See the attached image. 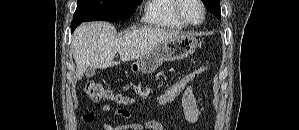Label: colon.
Listing matches in <instances>:
<instances>
[{"label": "colon", "instance_id": "1", "mask_svg": "<svg viewBox=\"0 0 299 130\" xmlns=\"http://www.w3.org/2000/svg\"><path fill=\"white\" fill-rule=\"evenodd\" d=\"M207 69L208 64H205L179 77L159 95L157 100L158 104L164 106L176 100L190 86L194 85ZM84 91L88 97L95 102L106 100L114 101L115 103L122 105H127L129 103L128 98L114 93L110 88L103 86L95 80H88L85 83Z\"/></svg>", "mask_w": 299, "mask_h": 130}]
</instances>
